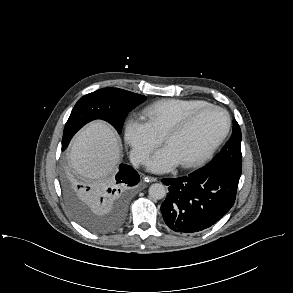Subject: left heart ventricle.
Returning a JSON list of instances; mask_svg holds the SVG:
<instances>
[{
	"label": "left heart ventricle",
	"mask_w": 293,
	"mask_h": 293,
	"mask_svg": "<svg viewBox=\"0 0 293 293\" xmlns=\"http://www.w3.org/2000/svg\"><path fill=\"white\" fill-rule=\"evenodd\" d=\"M225 115L209 109L198 115L189 127L169 139L171 148L179 163L187 162L203 153L223 132Z\"/></svg>",
	"instance_id": "left-heart-ventricle-1"
}]
</instances>
